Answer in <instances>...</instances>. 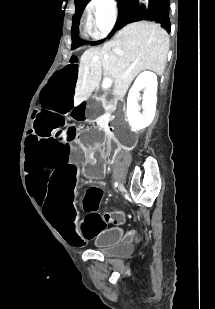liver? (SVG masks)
<instances>
[{"instance_id": "6515ba94", "label": "liver", "mask_w": 215, "mask_h": 309, "mask_svg": "<svg viewBox=\"0 0 215 309\" xmlns=\"http://www.w3.org/2000/svg\"><path fill=\"white\" fill-rule=\"evenodd\" d=\"M169 50L168 32L157 22L139 20L123 26L101 48H88L80 58L74 106L91 96L103 78H112L113 94L123 98L141 70L163 74Z\"/></svg>"}]
</instances>
